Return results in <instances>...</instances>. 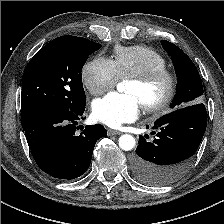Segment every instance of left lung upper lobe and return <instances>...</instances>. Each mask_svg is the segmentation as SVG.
<instances>
[{
    "mask_svg": "<svg viewBox=\"0 0 224 224\" xmlns=\"http://www.w3.org/2000/svg\"><path fill=\"white\" fill-rule=\"evenodd\" d=\"M163 48L171 56L177 76V91L170 107L179 109L202 102L203 86L191 59L175 44L162 40Z\"/></svg>",
    "mask_w": 224,
    "mask_h": 224,
    "instance_id": "1",
    "label": "left lung upper lobe"
}]
</instances>
